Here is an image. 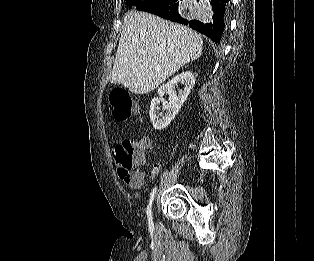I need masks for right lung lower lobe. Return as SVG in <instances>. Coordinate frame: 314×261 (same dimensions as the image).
<instances>
[{
	"mask_svg": "<svg viewBox=\"0 0 314 261\" xmlns=\"http://www.w3.org/2000/svg\"><path fill=\"white\" fill-rule=\"evenodd\" d=\"M182 0H164L160 4L147 10L149 13L156 14L164 19L188 25L209 37L216 45H221L222 39L225 34L229 14V1L230 0H211L213 14V21L204 24L199 20H191L182 18L184 3Z\"/></svg>",
	"mask_w": 314,
	"mask_h": 261,
	"instance_id": "obj_1",
	"label": "right lung lower lobe"
}]
</instances>
